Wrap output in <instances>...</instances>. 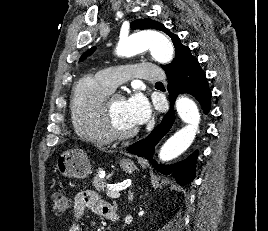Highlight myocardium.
<instances>
[{"mask_svg": "<svg viewBox=\"0 0 268 231\" xmlns=\"http://www.w3.org/2000/svg\"><path fill=\"white\" fill-rule=\"evenodd\" d=\"M119 99H123V96L118 92L112 91L109 95H107L102 105V119L104 129L111 139L123 140L135 136L139 132V129L136 127L129 131H123L118 128L113 116V106L115 101Z\"/></svg>", "mask_w": 268, "mask_h": 231, "instance_id": "myocardium-1", "label": "myocardium"}]
</instances>
